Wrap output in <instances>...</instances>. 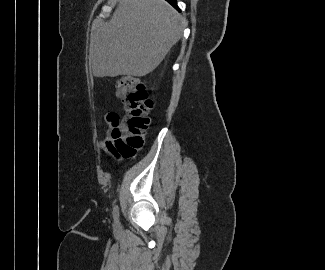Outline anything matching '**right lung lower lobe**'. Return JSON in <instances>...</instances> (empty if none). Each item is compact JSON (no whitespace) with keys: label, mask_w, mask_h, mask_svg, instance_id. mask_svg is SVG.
<instances>
[{"label":"right lung lower lobe","mask_w":325,"mask_h":270,"mask_svg":"<svg viewBox=\"0 0 325 270\" xmlns=\"http://www.w3.org/2000/svg\"><path fill=\"white\" fill-rule=\"evenodd\" d=\"M166 1H168L171 5H173L175 8L178 9L176 0H166Z\"/></svg>","instance_id":"obj_1"}]
</instances>
